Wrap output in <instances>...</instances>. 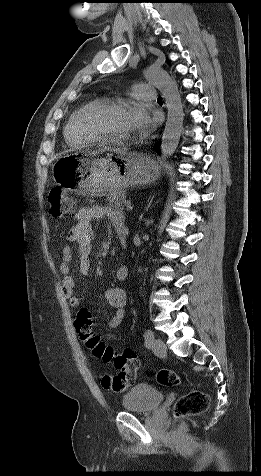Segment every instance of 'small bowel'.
Here are the masks:
<instances>
[{
	"label": "small bowel",
	"mask_w": 261,
	"mask_h": 476,
	"mask_svg": "<svg viewBox=\"0 0 261 476\" xmlns=\"http://www.w3.org/2000/svg\"><path fill=\"white\" fill-rule=\"evenodd\" d=\"M108 218L111 220L115 231H125V222L122 213L116 209L94 205L79 209L75 214L76 223L71 227L68 234V241L77 246L78 254V274L86 276L91 266L92 240L94 238V225L96 220ZM72 247L65 245L62 249V260L60 263V272L64 276L62 281V292L73 308H78L81 304L80 298L75 295V279L71 275ZM117 280L124 281L128 276L127 268L122 266L116 270ZM105 301L116 309L114 315L108 320L110 329L118 328L125 316V307L127 296L122 288L116 286L107 287L104 291Z\"/></svg>",
	"instance_id": "c3829d8e"
}]
</instances>
